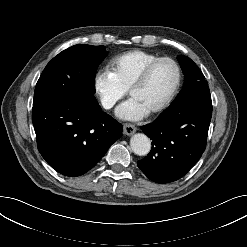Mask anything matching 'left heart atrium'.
<instances>
[{"instance_id": "obj_1", "label": "left heart atrium", "mask_w": 247, "mask_h": 247, "mask_svg": "<svg viewBox=\"0 0 247 247\" xmlns=\"http://www.w3.org/2000/svg\"><path fill=\"white\" fill-rule=\"evenodd\" d=\"M149 111L138 100L130 98L117 108L116 115L123 120L137 121L146 117Z\"/></svg>"}]
</instances>
